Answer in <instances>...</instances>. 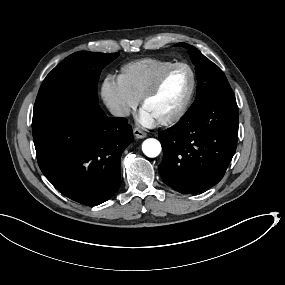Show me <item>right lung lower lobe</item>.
Instances as JSON below:
<instances>
[{
  "label": "right lung lower lobe",
  "instance_id": "obj_1",
  "mask_svg": "<svg viewBox=\"0 0 285 285\" xmlns=\"http://www.w3.org/2000/svg\"><path fill=\"white\" fill-rule=\"evenodd\" d=\"M32 132L39 167L64 196L96 206L118 190L121 154L134 140L125 118L67 95L34 108Z\"/></svg>",
  "mask_w": 285,
  "mask_h": 285
}]
</instances>
